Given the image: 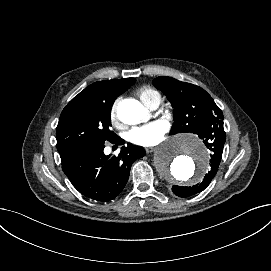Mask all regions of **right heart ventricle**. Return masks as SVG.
Segmentation results:
<instances>
[{"mask_svg": "<svg viewBox=\"0 0 271 271\" xmlns=\"http://www.w3.org/2000/svg\"><path fill=\"white\" fill-rule=\"evenodd\" d=\"M137 95L140 97V99L145 105H147L148 102L153 98H161L160 93L156 89L148 85H144L138 88Z\"/></svg>", "mask_w": 271, "mask_h": 271, "instance_id": "right-heart-ventricle-1", "label": "right heart ventricle"}]
</instances>
